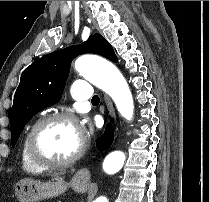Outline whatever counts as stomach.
Returning a JSON list of instances; mask_svg holds the SVG:
<instances>
[{"mask_svg":"<svg viewBox=\"0 0 209 202\" xmlns=\"http://www.w3.org/2000/svg\"><path fill=\"white\" fill-rule=\"evenodd\" d=\"M68 187L79 193H84L89 188L87 180L79 178L76 174L69 183L61 177L55 181L40 182L33 179H22L14 186V194L19 202H39L65 193Z\"/></svg>","mask_w":209,"mask_h":202,"instance_id":"1","label":"stomach"}]
</instances>
